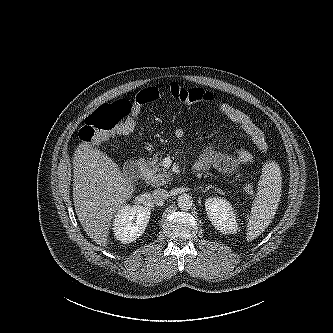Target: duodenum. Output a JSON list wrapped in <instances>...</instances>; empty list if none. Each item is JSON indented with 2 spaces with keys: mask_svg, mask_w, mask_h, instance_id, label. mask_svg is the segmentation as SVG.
Segmentation results:
<instances>
[{
  "mask_svg": "<svg viewBox=\"0 0 333 333\" xmlns=\"http://www.w3.org/2000/svg\"><path fill=\"white\" fill-rule=\"evenodd\" d=\"M145 165L140 160H130L124 166V173L131 179H139L143 176Z\"/></svg>",
  "mask_w": 333,
  "mask_h": 333,
  "instance_id": "obj_1",
  "label": "duodenum"
}]
</instances>
